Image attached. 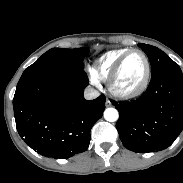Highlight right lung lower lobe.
I'll return each instance as SVG.
<instances>
[{
    "label": "right lung lower lobe",
    "instance_id": "1",
    "mask_svg": "<svg viewBox=\"0 0 183 183\" xmlns=\"http://www.w3.org/2000/svg\"><path fill=\"white\" fill-rule=\"evenodd\" d=\"M83 68L22 75L13 98L17 131L37 153L68 159L89 147L90 131L105 110V96L84 99Z\"/></svg>",
    "mask_w": 183,
    "mask_h": 183
}]
</instances>
